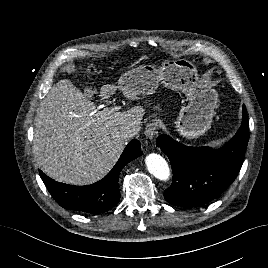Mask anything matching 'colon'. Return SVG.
<instances>
[{"label":"colon","mask_w":268,"mask_h":268,"mask_svg":"<svg viewBox=\"0 0 268 268\" xmlns=\"http://www.w3.org/2000/svg\"><path fill=\"white\" fill-rule=\"evenodd\" d=\"M89 71H90V70L87 68V69H86V73H88Z\"/></svg>","instance_id":"obj_1"}]
</instances>
